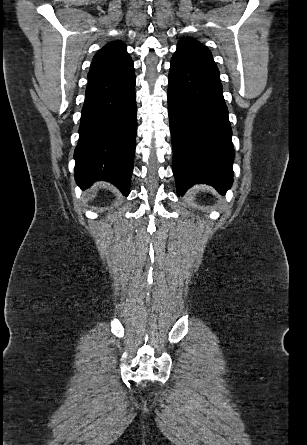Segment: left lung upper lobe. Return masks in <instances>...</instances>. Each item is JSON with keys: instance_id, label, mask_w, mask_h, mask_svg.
<instances>
[{"instance_id": "1", "label": "left lung upper lobe", "mask_w": 307, "mask_h": 445, "mask_svg": "<svg viewBox=\"0 0 307 445\" xmlns=\"http://www.w3.org/2000/svg\"><path fill=\"white\" fill-rule=\"evenodd\" d=\"M173 56L189 62L198 69L219 79V70L213 61L211 52L207 47L194 39H181Z\"/></svg>"}]
</instances>
